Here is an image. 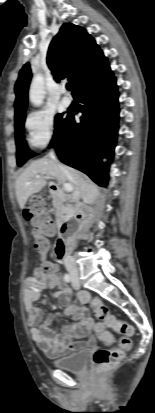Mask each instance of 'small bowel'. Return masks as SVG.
<instances>
[{"label":"small bowel","mask_w":155,"mask_h":413,"mask_svg":"<svg viewBox=\"0 0 155 413\" xmlns=\"http://www.w3.org/2000/svg\"><path fill=\"white\" fill-rule=\"evenodd\" d=\"M52 268V273L46 274L42 267H38L34 274L25 281V306L28 311V324L34 343L50 358L69 355L92 346V339L76 341V339L88 336L92 331L96 333L101 342L112 343L113 337L106 331L104 323L94 322L89 317L85 306L70 304L72 291L64 283L61 275L57 273V265L52 264ZM48 283L58 288L55 297L59 298L58 304L64 308V315L74 319L73 323L66 325L61 331L50 328V325L55 321L54 316H44L42 310L35 306V302L40 298L42 290L46 288ZM77 297L82 304L90 300L87 291L78 293Z\"/></svg>","instance_id":"c3829d8e"}]
</instances>
